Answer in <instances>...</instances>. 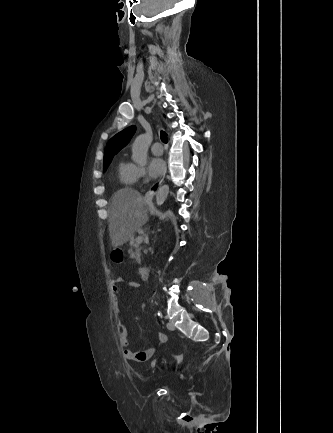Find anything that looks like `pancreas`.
<instances>
[{
    "mask_svg": "<svg viewBox=\"0 0 333 433\" xmlns=\"http://www.w3.org/2000/svg\"><path fill=\"white\" fill-rule=\"evenodd\" d=\"M130 245H131V249L129 251L130 254V258L135 259L136 263H140L141 262V243H137V239L131 238L130 239Z\"/></svg>",
    "mask_w": 333,
    "mask_h": 433,
    "instance_id": "cf45deb5",
    "label": "pancreas"
}]
</instances>
